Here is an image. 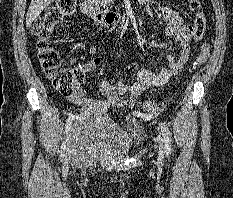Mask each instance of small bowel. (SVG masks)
<instances>
[{
  "mask_svg": "<svg viewBox=\"0 0 233 198\" xmlns=\"http://www.w3.org/2000/svg\"><path fill=\"white\" fill-rule=\"evenodd\" d=\"M138 1L140 4L145 5L149 0ZM162 17L167 23L165 35L180 46V54L177 57L173 54L167 55V68L157 72L140 69L136 73L135 80L129 84L119 80L115 85H112L109 81L104 80L99 86L103 100L88 97L81 88H76L71 95H68L69 101L85 110H95L100 113L105 112L111 106L131 107L145 90L151 87L163 86L172 76L178 74L188 61L189 42L194 37L193 26L185 23L183 18L171 7L163 8ZM90 52L93 53L92 48ZM100 62V57L93 56L91 60L82 64L79 69L82 74H89L96 69Z\"/></svg>",
  "mask_w": 233,
  "mask_h": 198,
  "instance_id": "obj_1",
  "label": "small bowel"
}]
</instances>
